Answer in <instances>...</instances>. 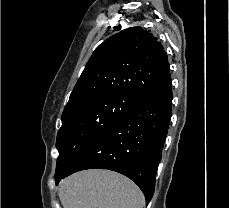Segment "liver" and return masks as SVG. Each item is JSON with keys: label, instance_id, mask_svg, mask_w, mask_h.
<instances>
[{"label": "liver", "instance_id": "obj_1", "mask_svg": "<svg viewBox=\"0 0 229 208\" xmlns=\"http://www.w3.org/2000/svg\"><path fill=\"white\" fill-rule=\"evenodd\" d=\"M63 208H144L138 186L116 172L86 170L61 180L58 188Z\"/></svg>", "mask_w": 229, "mask_h": 208}]
</instances>
